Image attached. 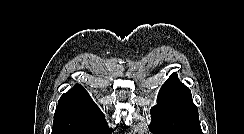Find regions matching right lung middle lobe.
I'll list each match as a JSON object with an SVG mask.
<instances>
[{
    "label": "right lung middle lobe",
    "mask_w": 244,
    "mask_h": 134,
    "mask_svg": "<svg viewBox=\"0 0 244 134\" xmlns=\"http://www.w3.org/2000/svg\"><path fill=\"white\" fill-rule=\"evenodd\" d=\"M105 118L78 119L72 117L55 118L52 134H110Z\"/></svg>",
    "instance_id": "1"
}]
</instances>
